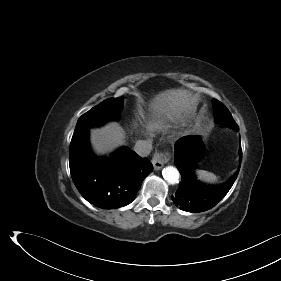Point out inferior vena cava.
I'll return each instance as SVG.
<instances>
[{
    "label": "inferior vena cava",
    "mask_w": 281,
    "mask_h": 281,
    "mask_svg": "<svg viewBox=\"0 0 281 281\" xmlns=\"http://www.w3.org/2000/svg\"><path fill=\"white\" fill-rule=\"evenodd\" d=\"M152 150L151 140H138L135 143L134 151L141 157H147Z\"/></svg>",
    "instance_id": "obj_1"
}]
</instances>
